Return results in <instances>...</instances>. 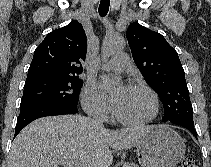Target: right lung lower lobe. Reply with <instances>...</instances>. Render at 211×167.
I'll return each mask as SVG.
<instances>
[{
    "mask_svg": "<svg viewBox=\"0 0 211 167\" xmlns=\"http://www.w3.org/2000/svg\"><path fill=\"white\" fill-rule=\"evenodd\" d=\"M78 112L76 106L67 105H44L27 108L20 111L15 128V136L30 122L37 118L53 115L75 114Z\"/></svg>",
    "mask_w": 211,
    "mask_h": 167,
    "instance_id": "obj_1",
    "label": "right lung lower lobe"
}]
</instances>
